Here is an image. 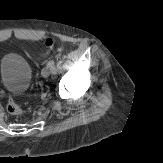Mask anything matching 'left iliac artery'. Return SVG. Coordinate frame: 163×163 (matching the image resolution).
<instances>
[{"instance_id": "left-iliac-artery-1", "label": "left iliac artery", "mask_w": 163, "mask_h": 163, "mask_svg": "<svg viewBox=\"0 0 163 163\" xmlns=\"http://www.w3.org/2000/svg\"><path fill=\"white\" fill-rule=\"evenodd\" d=\"M54 64H55L54 61H49L47 63V66L53 68L54 67Z\"/></svg>"}]
</instances>
